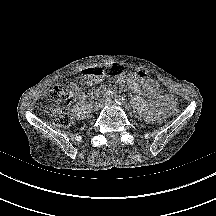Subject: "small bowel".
Returning <instances> with one entry per match:
<instances>
[{
    "mask_svg": "<svg viewBox=\"0 0 216 216\" xmlns=\"http://www.w3.org/2000/svg\"><path fill=\"white\" fill-rule=\"evenodd\" d=\"M116 81L118 83H126L132 91L152 99L151 110L148 116L151 122L160 121L176 100L173 95L162 94L158 83L145 73L128 72L126 75L118 76ZM80 95L81 91L78 88L75 98Z\"/></svg>",
    "mask_w": 216,
    "mask_h": 216,
    "instance_id": "obj_1",
    "label": "small bowel"
}]
</instances>
